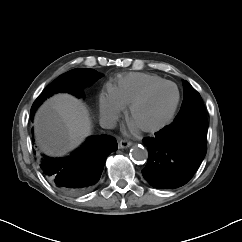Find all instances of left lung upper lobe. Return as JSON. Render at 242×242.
Segmentation results:
<instances>
[{"label": "left lung upper lobe", "instance_id": "5c2ea615", "mask_svg": "<svg viewBox=\"0 0 242 242\" xmlns=\"http://www.w3.org/2000/svg\"><path fill=\"white\" fill-rule=\"evenodd\" d=\"M184 97L181 109L175 121L163 128L169 132H182L192 127H208L206 110L200 94L183 81Z\"/></svg>", "mask_w": 242, "mask_h": 242}]
</instances>
